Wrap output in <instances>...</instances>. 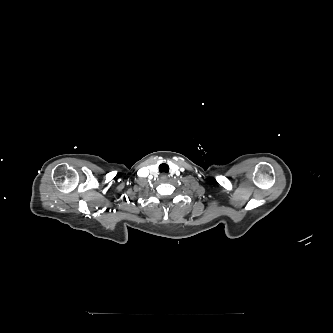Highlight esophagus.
<instances>
[{
    "label": "esophagus",
    "instance_id": "obj_1",
    "mask_svg": "<svg viewBox=\"0 0 333 333\" xmlns=\"http://www.w3.org/2000/svg\"><path fill=\"white\" fill-rule=\"evenodd\" d=\"M160 179H161L162 182H166L167 179H168V176L166 174H162Z\"/></svg>",
    "mask_w": 333,
    "mask_h": 333
}]
</instances>
